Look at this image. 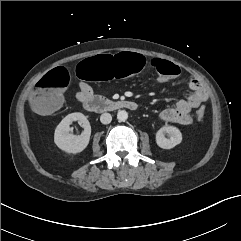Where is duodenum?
I'll list each match as a JSON object with an SVG mask.
<instances>
[{
	"label": "duodenum",
	"mask_w": 241,
	"mask_h": 241,
	"mask_svg": "<svg viewBox=\"0 0 241 241\" xmlns=\"http://www.w3.org/2000/svg\"><path fill=\"white\" fill-rule=\"evenodd\" d=\"M83 107L89 112L104 113L121 109L136 110L137 104L128 100H106L92 97L83 102Z\"/></svg>",
	"instance_id": "obj_1"
}]
</instances>
